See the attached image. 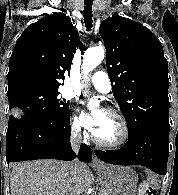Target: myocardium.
Segmentation results:
<instances>
[{
  "label": "myocardium",
  "instance_id": "obj_1",
  "mask_svg": "<svg viewBox=\"0 0 178 195\" xmlns=\"http://www.w3.org/2000/svg\"><path fill=\"white\" fill-rule=\"evenodd\" d=\"M105 113H107V114L113 116L114 118H116V120L118 121V123L121 127V130H122L121 137L117 141H114V142H105V141L100 140L94 134L93 135V140L98 146L103 147V148H107V149L120 148V147L124 146L130 138L129 126H128L126 120L124 119V117L118 111H116L114 109H111V108H108V109L105 110Z\"/></svg>",
  "mask_w": 178,
  "mask_h": 195
}]
</instances>
